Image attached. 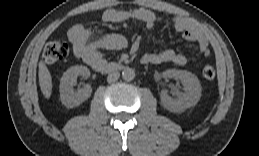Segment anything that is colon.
Masks as SVG:
<instances>
[{"label": "colon", "mask_w": 259, "mask_h": 156, "mask_svg": "<svg viewBox=\"0 0 259 156\" xmlns=\"http://www.w3.org/2000/svg\"><path fill=\"white\" fill-rule=\"evenodd\" d=\"M69 53V46L65 41L51 39L49 40L43 50V61L52 65L67 57ZM202 75L204 78L211 80L215 77L216 72L214 67L207 65L202 70Z\"/></svg>", "instance_id": "colon-1"}]
</instances>
